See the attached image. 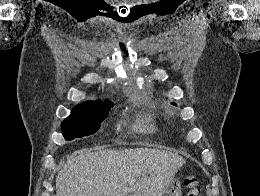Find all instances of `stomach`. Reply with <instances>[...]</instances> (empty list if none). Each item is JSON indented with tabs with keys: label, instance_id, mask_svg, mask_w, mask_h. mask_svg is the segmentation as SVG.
I'll return each instance as SVG.
<instances>
[{
	"label": "stomach",
	"instance_id": "1",
	"mask_svg": "<svg viewBox=\"0 0 260 196\" xmlns=\"http://www.w3.org/2000/svg\"><path fill=\"white\" fill-rule=\"evenodd\" d=\"M169 185H180V180H169ZM182 187H167L166 193L161 196H181Z\"/></svg>",
	"mask_w": 260,
	"mask_h": 196
}]
</instances>
